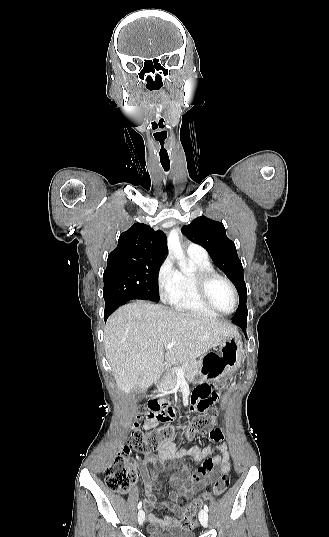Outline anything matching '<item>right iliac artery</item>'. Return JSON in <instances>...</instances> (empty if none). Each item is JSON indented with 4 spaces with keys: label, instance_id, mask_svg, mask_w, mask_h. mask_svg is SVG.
<instances>
[{
    "label": "right iliac artery",
    "instance_id": "obj_1",
    "mask_svg": "<svg viewBox=\"0 0 329 537\" xmlns=\"http://www.w3.org/2000/svg\"><path fill=\"white\" fill-rule=\"evenodd\" d=\"M142 507V502L140 501L137 505V508L140 509Z\"/></svg>",
    "mask_w": 329,
    "mask_h": 537
}]
</instances>
